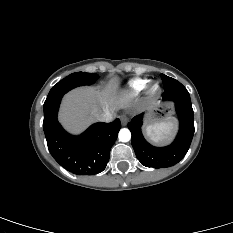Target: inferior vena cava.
<instances>
[{
    "label": "inferior vena cava",
    "instance_id": "inferior-vena-cava-1",
    "mask_svg": "<svg viewBox=\"0 0 233 233\" xmlns=\"http://www.w3.org/2000/svg\"><path fill=\"white\" fill-rule=\"evenodd\" d=\"M97 119L102 122H110L113 119V115L109 111H105L100 113Z\"/></svg>",
    "mask_w": 233,
    "mask_h": 233
}]
</instances>
